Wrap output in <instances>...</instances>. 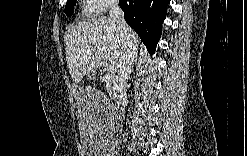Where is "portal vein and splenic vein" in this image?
I'll return each mask as SVG.
<instances>
[{
    "label": "portal vein and splenic vein",
    "mask_w": 247,
    "mask_h": 156,
    "mask_svg": "<svg viewBox=\"0 0 247 156\" xmlns=\"http://www.w3.org/2000/svg\"><path fill=\"white\" fill-rule=\"evenodd\" d=\"M106 69L109 71V72H113L115 69H116V64L114 62H109L107 65H106Z\"/></svg>",
    "instance_id": "1"
}]
</instances>
